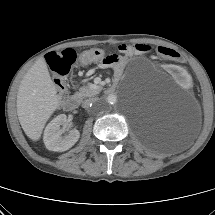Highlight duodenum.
Instances as JSON below:
<instances>
[{
  "instance_id": "obj_1",
  "label": "duodenum",
  "mask_w": 215,
  "mask_h": 215,
  "mask_svg": "<svg viewBox=\"0 0 215 215\" xmlns=\"http://www.w3.org/2000/svg\"><path fill=\"white\" fill-rule=\"evenodd\" d=\"M79 104L80 97L77 95H72L65 101L64 108L67 111H74L78 108Z\"/></svg>"
}]
</instances>
